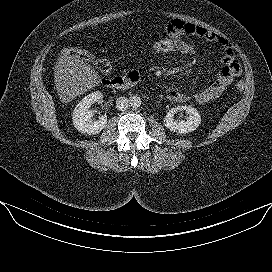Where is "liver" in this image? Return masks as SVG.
Segmentation results:
<instances>
[{
  "label": "liver",
  "mask_w": 272,
  "mask_h": 272,
  "mask_svg": "<svg viewBox=\"0 0 272 272\" xmlns=\"http://www.w3.org/2000/svg\"><path fill=\"white\" fill-rule=\"evenodd\" d=\"M54 81L61 102L68 103L97 86L100 76L78 56L64 54L56 62Z\"/></svg>",
  "instance_id": "obj_1"
}]
</instances>
